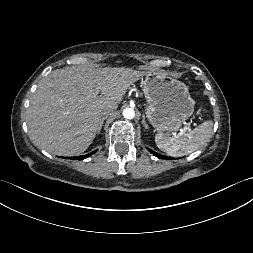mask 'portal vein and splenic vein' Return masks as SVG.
Masks as SVG:
<instances>
[{
    "mask_svg": "<svg viewBox=\"0 0 253 253\" xmlns=\"http://www.w3.org/2000/svg\"><path fill=\"white\" fill-rule=\"evenodd\" d=\"M190 127L189 126H185L183 129H180L181 133H185L186 131H189Z\"/></svg>",
    "mask_w": 253,
    "mask_h": 253,
    "instance_id": "portal-vein-and-splenic-vein-1",
    "label": "portal vein and splenic vein"
}]
</instances>
